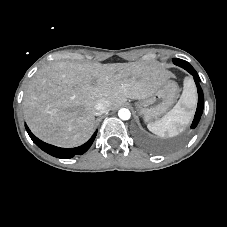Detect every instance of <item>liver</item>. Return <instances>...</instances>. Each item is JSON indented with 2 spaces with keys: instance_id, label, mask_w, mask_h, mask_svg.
Listing matches in <instances>:
<instances>
[{
  "instance_id": "6515ba94",
  "label": "liver",
  "mask_w": 227,
  "mask_h": 227,
  "mask_svg": "<svg viewBox=\"0 0 227 227\" xmlns=\"http://www.w3.org/2000/svg\"><path fill=\"white\" fill-rule=\"evenodd\" d=\"M173 74L157 64H78L53 62L33 76L23 98V113L31 131L60 147L85 143L94 131L95 102L110 101V109L127 98L152 96Z\"/></svg>"
}]
</instances>
